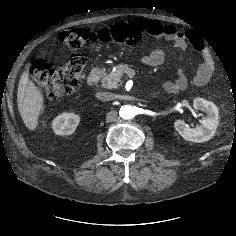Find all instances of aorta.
<instances>
[{
  "mask_svg": "<svg viewBox=\"0 0 236 236\" xmlns=\"http://www.w3.org/2000/svg\"><path fill=\"white\" fill-rule=\"evenodd\" d=\"M136 108L132 105H122L119 111V115L122 119L128 120L135 116Z\"/></svg>",
  "mask_w": 236,
  "mask_h": 236,
  "instance_id": "aorta-1",
  "label": "aorta"
}]
</instances>
